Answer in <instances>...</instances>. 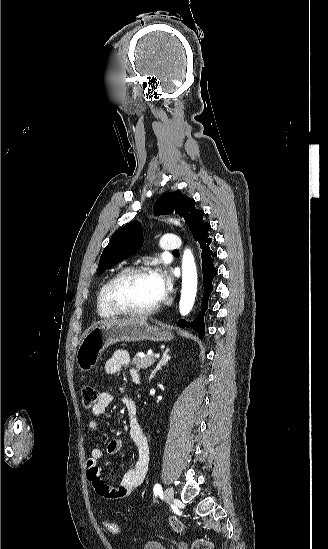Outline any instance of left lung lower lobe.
Listing matches in <instances>:
<instances>
[{
  "mask_svg": "<svg viewBox=\"0 0 328 549\" xmlns=\"http://www.w3.org/2000/svg\"><path fill=\"white\" fill-rule=\"evenodd\" d=\"M200 248L202 249L201 260H202V273H203V286L204 294L202 300V309L200 314L192 321L186 322L185 320L180 319L178 322L179 326H189L194 328L200 337L204 336L205 326H204V314L208 308V298L210 293L213 290L212 280L216 276L217 271L214 267L213 261L216 256V253L210 249L212 243V238L205 236L198 241Z\"/></svg>",
  "mask_w": 328,
  "mask_h": 549,
  "instance_id": "1",
  "label": "left lung lower lobe"
}]
</instances>
